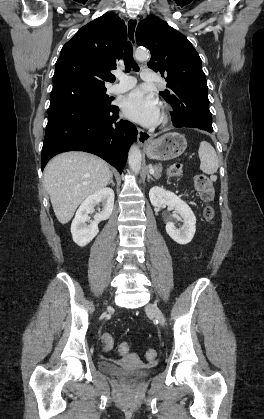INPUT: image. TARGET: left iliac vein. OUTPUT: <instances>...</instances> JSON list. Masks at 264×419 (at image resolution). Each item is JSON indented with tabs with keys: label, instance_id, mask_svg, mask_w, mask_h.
Segmentation results:
<instances>
[{
	"label": "left iliac vein",
	"instance_id": "4c4485c4",
	"mask_svg": "<svg viewBox=\"0 0 264 419\" xmlns=\"http://www.w3.org/2000/svg\"><path fill=\"white\" fill-rule=\"evenodd\" d=\"M146 311L154 316L155 319L159 321V323L164 326L165 325V317L161 310L155 304H148L146 306Z\"/></svg>",
	"mask_w": 264,
	"mask_h": 419
}]
</instances>
